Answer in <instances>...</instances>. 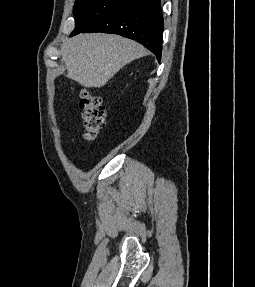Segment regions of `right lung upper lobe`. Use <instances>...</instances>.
Instances as JSON below:
<instances>
[{
  "label": "right lung upper lobe",
  "instance_id": "obj_1",
  "mask_svg": "<svg viewBox=\"0 0 255 287\" xmlns=\"http://www.w3.org/2000/svg\"><path fill=\"white\" fill-rule=\"evenodd\" d=\"M133 1H135V0H130V2H133Z\"/></svg>",
  "mask_w": 255,
  "mask_h": 287
}]
</instances>
